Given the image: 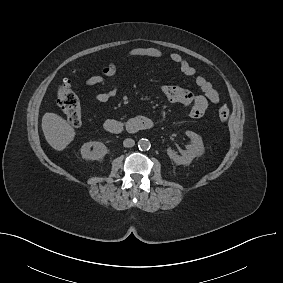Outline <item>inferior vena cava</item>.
<instances>
[{
  "instance_id": "1",
  "label": "inferior vena cava",
  "mask_w": 283,
  "mask_h": 283,
  "mask_svg": "<svg viewBox=\"0 0 283 283\" xmlns=\"http://www.w3.org/2000/svg\"><path fill=\"white\" fill-rule=\"evenodd\" d=\"M134 145H135V141L131 138H127L123 141L124 147L130 148V147H133Z\"/></svg>"
}]
</instances>
